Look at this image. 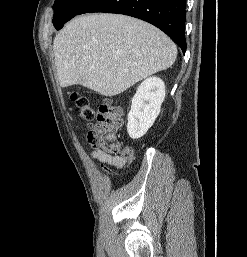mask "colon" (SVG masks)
Here are the masks:
<instances>
[{"label": "colon", "instance_id": "5ec220e1", "mask_svg": "<svg viewBox=\"0 0 247 257\" xmlns=\"http://www.w3.org/2000/svg\"><path fill=\"white\" fill-rule=\"evenodd\" d=\"M71 100L81 118L91 125L87 138L93 148L111 155L131 156V150L128 147L123 148L116 138V132L123 122L120 107L110 99H105L95 111L88 98L75 92L71 94Z\"/></svg>", "mask_w": 247, "mask_h": 257}]
</instances>
